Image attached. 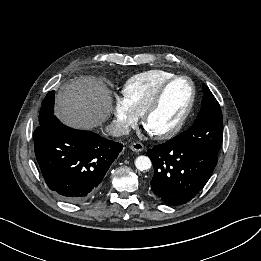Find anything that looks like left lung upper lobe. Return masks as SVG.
Instances as JSON below:
<instances>
[{"label":"left lung upper lobe","instance_id":"left-lung-upper-lobe-1","mask_svg":"<svg viewBox=\"0 0 261 261\" xmlns=\"http://www.w3.org/2000/svg\"><path fill=\"white\" fill-rule=\"evenodd\" d=\"M201 111L194 124L180 135L188 144L218 154L223 139V119L220 105L209 88L203 85Z\"/></svg>","mask_w":261,"mask_h":261}]
</instances>
